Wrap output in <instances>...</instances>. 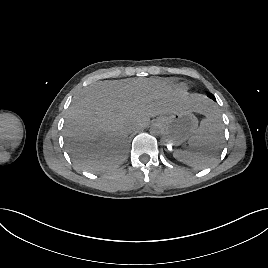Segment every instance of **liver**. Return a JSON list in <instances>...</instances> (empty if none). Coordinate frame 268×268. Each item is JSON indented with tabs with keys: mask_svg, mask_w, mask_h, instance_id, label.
I'll use <instances>...</instances> for the list:
<instances>
[{
	"mask_svg": "<svg viewBox=\"0 0 268 268\" xmlns=\"http://www.w3.org/2000/svg\"><path fill=\"white\" fill-rule=\"evenodd\" d=\"M208 107L205 97L173 90L160 79L99 81L74 96L63 134L75 165L100 172L121 162L132 128L183 109L206 114Z\"/></svg>",
	"mask_w": 268,
	"mask_h": 268,
	"instance_id": "obj_1",
	"label": "liver"
}]
</instances>
